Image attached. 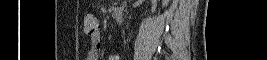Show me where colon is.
Here are the masks:
<instances>
[{"instance_id":"obj_1","label":"colon","mask_w":267,"mask_h":60,"mask_svg":"<svg viewBox=\"0 0 267 60\" xmlns=\"http://www.w3.org/2000/svg\"><path fill=\"white\" fill-rule=\"evenodd\" d=\"M98 29V20L92 14H87L84 17V30L86 34L92 35L97 32Z\"/></svg>"}]
</instances>
